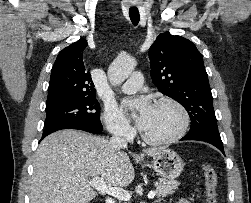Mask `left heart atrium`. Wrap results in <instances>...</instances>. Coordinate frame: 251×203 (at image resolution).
I'll use <instances>...</instances> for the list:
<instances>
[{
    "label": "left heart atrium",
    "mask_w": 251,
    "mask_h": 203,
    "mask_svg": "<svg viewBox=\"0 0 251 203\" xmlns=\"http://www.w3.org/2000/svg\"><path fill=\"white\" fill-rule=\"evenodd\" d=\"M128 108L134 109L137 111V126L143 130L147 125L149 118L152 114L153 105L146 97H139L132 101L127 102Z\"/></svg>",
    "instance_id": "1"
}]
</instances>
